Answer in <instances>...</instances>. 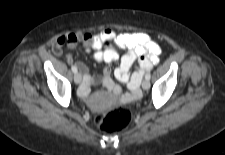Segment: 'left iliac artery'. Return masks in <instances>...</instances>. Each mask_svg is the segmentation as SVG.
Returning <instances> with one entry per match:
<instances>
[{"label":"left iliac artery","instance_id":"left-iliac-artery-1","mask_svg":"<svg viewBox=\"0 0 225 155\" xmlns=\"http://www.w3.org/2000/svg\"><path fill=\"white\" fill-rule=\"evenodd\" d=\"M151 78V74H150V72L149 73H147L146 75H145V79H150Z\"/></svg>","mask_w":225,"mask_h":155}]
</instances>
